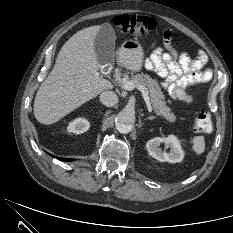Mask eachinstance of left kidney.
Segmentation results:
<instances>
[{
    "label": "left kidney",
    "instance_id": "left-kidney-1",
    "mask_svg": "<svg viewBox=\"0 0 233 233\" xmlns=\"http://www.w3.org/2000/svg\"><path fill=\"white\" fill-rule=\"evenodd\" d=\"M162 143L166 148L170 147L169 153L162 151L159 147ZM146 149L150 156L161 162L177 163L181 162L184 158L180 142L174 135H169L167 138H153L146 143Z\"/></svg>",
    "mask_w": 233,
    "mask_h": 233
}]
</instances>
